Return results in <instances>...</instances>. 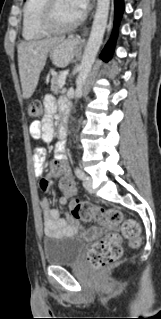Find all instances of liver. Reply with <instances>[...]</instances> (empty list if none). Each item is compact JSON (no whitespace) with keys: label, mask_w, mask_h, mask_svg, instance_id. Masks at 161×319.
Instances as JSON below:
<instances>
[{"label":"liver","mask_w":161,"mask_h":319,"mask_svg":"<svg viewBox=\"0 0 161 319\" xmlns=\"http://www.w3.org/2000/svg\"><path fill=\"white\" fill-rule=\"evenodd\" d=\"M62 41L63 37H54L19 43L18 66L24 99L30 98L34 93L49 51Z\"/></svg>","instance_id":"6515ba94"}]
</instances>
